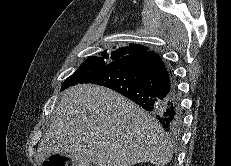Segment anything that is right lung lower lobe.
Instances as JSON below:
<instances>
[{"label":"right lung lower lobe","mask_w":231,"mask_h":166,"mask_svg":"<svg viewBox=\"0 0 231 166\" xmlns=\"http://www.w3.org/2000/svg\"><path fill=\"white\" fill-rule=\"evenodd\" d=\"M80 83L113 89L145 110L154 112L171 135L181 131L180 95L164 62L155 52L116 59Z\"/></svg>","instance_id":"right-lung-lower-lobe-1"}]
</instances>
